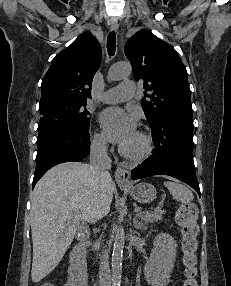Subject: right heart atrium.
Wrapping results in <instances>:
<instances>
[{"instance_id": "right-heart-atrium-1", "label": "right heart atrium", "mask_w": 231, "mask_h": 286, "mask_svg": "<svg viewBox=\"0 0 231 286\" xmlns=\"http://www.w3.org/2000/svg\"><path fill=\"white\" fill-rule=\"evenodd\" d=\"M92 146L99 151H105L108 147V141L104 133L96 132L92 138Z\"/></svg>"}]
</instances>
